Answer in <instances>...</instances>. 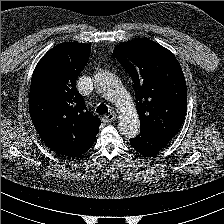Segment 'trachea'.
I'll list each match as a JSON object with an SVG mask.
<instances>
[{"instance_id": "3493384b", "label": "trachea", "mask_w": 224, "mask_h": 224, "mask_svg": "<svg viewBox=\"0 0 224 224\" xmlns=\"http://www.w3.org/2000/svg\"><path fill=\"white\" fill-rule=\"evenodd\" d=\"M96 112L99 114H105L108 113V107L104 104L101 103L100 105H98V107L96 108Z\"/></svg>"}]
</instances>
